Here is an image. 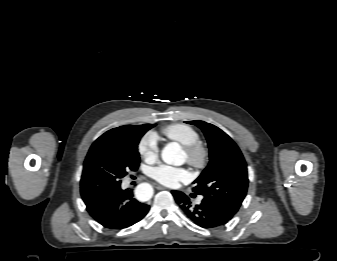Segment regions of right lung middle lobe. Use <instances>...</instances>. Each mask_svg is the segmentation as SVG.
Instances as JSON below:
<instances>
[{
	"mask_svg": "<svg viewBox=\"0 0 337 261\" xmlns=\"http://www.w3.org/2000/svg\"><path fill=\"white\" fill-rule=\"evenodd\" d=\"M155 126V124H154ZM145 131L119 138L97 139L84 161L80 191L85 203L121 184L140 162L138 143Z\"/></svg>",
	"mask_w": 337,
	"mask_h": 261,
	"instance_id": "right-lung-middle-lobe-1",
	"label": "right lung middle lobe"
}]
</instances>
